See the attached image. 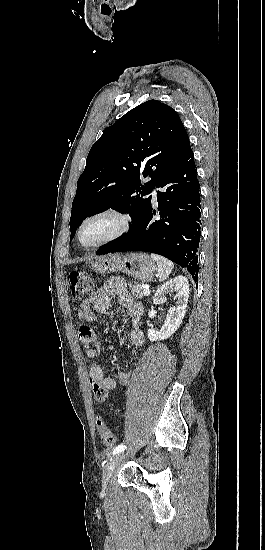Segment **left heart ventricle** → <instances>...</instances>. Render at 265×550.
I'll use <instances>...</instances> for the list:
<instances>
[{
	"mask_svg": "<svg viewBox=\"0 0 265 550\" xmlns=\"http://www.w3.org/2000/svg\"><path fill=\"white\" fill-rule=\"evenodd\" d=\"M115 222L110 217H100L91 221L81 233V242L84 245L93 244L112 232Z\"/></svg>",
	"mask_w": 265,
	"mask_h": 550,
	"instance_id": "obj_1",
	"label": "left heart ventricle"
}]
</instances>
